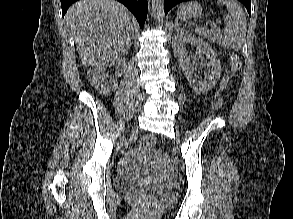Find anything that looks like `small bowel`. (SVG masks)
Instances as JSON below:
<instances>
[{
    "mask_svg": "<svg viewBox=\"0 0 293 219\" xmlns=\"http://www.w3.org/2000/svg\"><path fill=\"white\" fill-rule=\"evenodd\" d=\"M226 82H227V76L224 75L220 82V88H223L226 85Z\"/></svg>",
    "mask_w": 293,
    "mask_h": 219,
    "instance_id": "obj_1",
    "label": "small bowel"
}]
</instances>
